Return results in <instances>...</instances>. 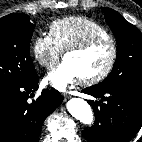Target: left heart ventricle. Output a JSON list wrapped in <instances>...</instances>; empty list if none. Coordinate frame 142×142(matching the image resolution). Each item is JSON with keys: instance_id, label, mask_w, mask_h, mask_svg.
<instances>
[{"instance_id": "obj_1", "label": "left heart ventricle", "mask_w": 142, "mask_h": 142, "mask_svg": "<svg viewBox=\"0 0 142 142\" xmlns=\"http://www.w3.org/2000/svg\"><path fill=\"white\" fill-rule=\"evenodd\" d=\"M110 56V44L102 41L84 51L68 54L65 60L69 61L78 72L80 78H83L95 75L103 70Z\"/></svg>"}]
</instances>
